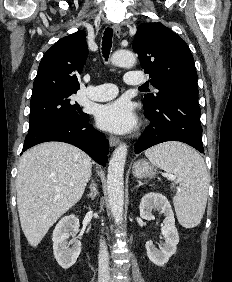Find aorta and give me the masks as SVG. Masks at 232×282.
Masks as SVG:
<instances>
[{"label":"aorta","mask_w":232,"mask_h":282,"mask_svg":"<svg viewBox=\"0 0 232 282\" xmlns=\"http://www.w3.org/2000/svg\"><path fill=\"white\" fill-rule=\"evenodd\" d=\"M111 62L119 67H131L135 64L136 57L131 51L118 50L112 55ZM127 148L125 143L120 144L113 152L108 166L107 185L109 205L111 213L117 223H121L123 220V174L128 151Z\"/></svg>","instance_id":"aorta-1"}]
</instances>
